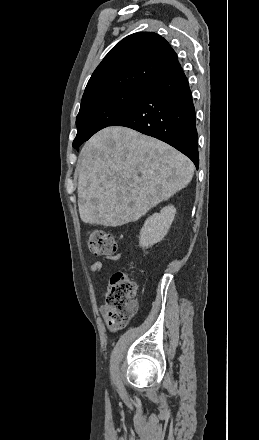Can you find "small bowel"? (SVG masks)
<instances>
[{
	"instance_id": "c3829d8e",
	"label": "small bowel",
	"mask_w": 259,
	"mask_h": 440,
	"mask_svg": "<svg viewBox=\"0 0 259 440\" xmlns=\"http://www.w3.org/2000/svg\"><path fill=\"white\" fill-rule=\"evenodd\" d=\"M120 258H121V253L120 252L106 257V259L114 260V261L118 260ZM102 268H103V262L102 261H95V262H93L90 265L89 270H90L91 273H96V272L101 271ZM101 312L104 313V307L101 308ZM111 330H113V328H111Z\"/></svg>"
}]
</instances>
